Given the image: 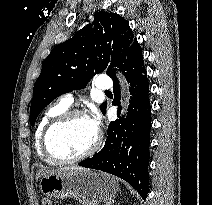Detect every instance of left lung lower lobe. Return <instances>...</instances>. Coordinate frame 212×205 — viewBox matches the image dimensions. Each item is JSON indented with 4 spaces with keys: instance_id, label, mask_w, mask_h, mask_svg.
<instances>
[{
    "instance_id": "0a47b994",
    "label": "left lung lower lobe",
    "mask_w": 212,
    "mask_h": 205,
    "mask_svg": "<svg viewBox=\"0 0 212 205\" xmlns=\"http://www.w3.org/2000/svg\"><path fill=\"white\" fill-rule=\"evenodd\" d=\"M119 68L122 72L125 71L130 83L131 100L127 117L110 122L103 148L78 165L124 179L145 199L148 193L151 107L142 50L136 39ZM112 78L114 101L119 105V81L115 74Z\"/></svg>"
}]
</instances>
